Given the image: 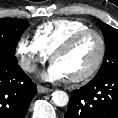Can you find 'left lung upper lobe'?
<instances>
[{"mask_svg": "<svg viewBox=\"0 0 118 118\" xmlns=\"http://www.w3.org/2000/svg\"><path fill=\"white\" fill-rule=\"evenodd\" d=\"M100 28L104 35L106 51L103 63L94 79L118 72V30L105 23H102Z\"/></svg>", "mask_w": 118, "mask_h": 118, "instance_id": "obj_1", "label": "left lung upper lobe"}]
</instances>
